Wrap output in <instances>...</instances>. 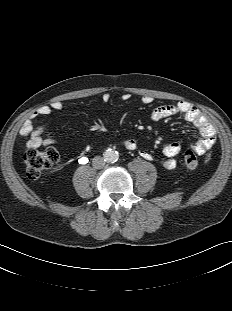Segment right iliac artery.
<instances>
[{
	"mask_svg": "<svg viewBox=\"0 0 232 311\" xmlns=\"http://www.w3.org/2000/svg\"><path fill=\"white\" fill-rule=\"evenodd\" d=\"M83 158H85V157H83ZM87 161H88V159L86 158V161H85V163H86ZM85 163H84V164H85Z\"/></svg>",
	"mask_w": 232,
	"mask_h": 311,
	"instance_id": "1",
	"label": "right iliac artery"
}]
</instances>
